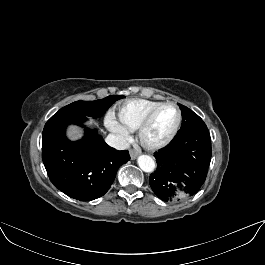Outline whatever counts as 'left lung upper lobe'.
<instances>
[{"mask_svg": "<svg viewBox=\"0 0 265 265\" xmlns=\"http://www.w3.org/2000/svg\"><path fill=\"white\" fill-rule=\"evenodd\" d=\"M182 111V125L178 133L186 132L200 124H204L203 120L189 108L178 104Z\"/></svg>", "mask_w": 265, "mask_h": 265, "instance_id": "1", "label": "left lung upper lobe"}]
</instances>
